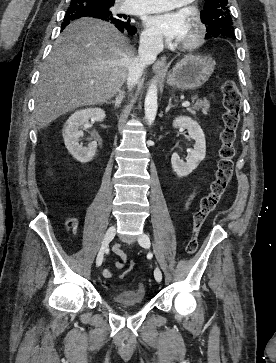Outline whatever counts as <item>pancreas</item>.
<instances>
[{"label": "pancreas", "mask_w": 276, "mask_h": 363, "mask_svg": "<svg viewBox=\"0 0 276 363\" xmlns=\"http://www.w3.org/2000/svg\"><path fill=\"white\" fill-rule=\"evenodd\" d=\"M194 105L190 108H187V110L193 114L196 115L197 111H201L204 115H207L210 108V103L206 99H198L197 97L192 98Z\"/></svg>", "instance_id": "obj_1"}]
</instances>
